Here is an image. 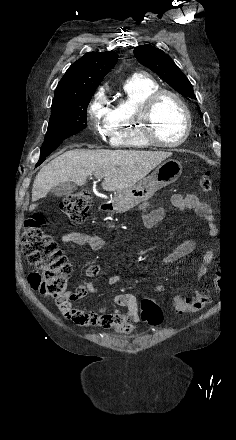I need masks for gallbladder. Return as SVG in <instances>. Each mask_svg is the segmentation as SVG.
Returning a JSON list of instances; mask_svg holds the SVG:
<instances>
[{
	"label": "gallbladder",
	"instance_id": "gallbladder-1",
	"mask_svg": "<svg viewBox=\"0 0 236 440\" xmlns=\"http://www.w3.org/2000/svg\"><path fill=\"white\" fill-rule=\"evenodd\" d=\"M77 190L76 185L73 182H64L51 189V194L54 197H61L68 195Z\"/></svg>",
	"mask_w": 236,
	"mask_h": 440
}]
</instances>
